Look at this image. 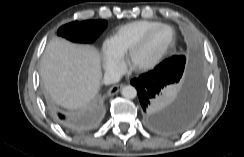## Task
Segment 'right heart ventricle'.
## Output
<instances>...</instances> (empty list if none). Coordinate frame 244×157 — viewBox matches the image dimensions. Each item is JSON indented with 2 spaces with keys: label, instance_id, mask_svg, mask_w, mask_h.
<instances>
[{
  "label": "right heart ventricle",
  "instance_id": "1",
  "mask_svg": "<svg viewBox=\"0 0 244 157\" xmlns=\"http://www.w3.org/2000/svg\"><path fill=\"white\" fill-rule=\"evenodd\" d=\"M159 21L139 20L120 26L110 38L112 49L119 55L124 56L152 27L160 24Z\"/></svg>",
  "mask_w": 244,
  "mask_h": 157
}]
</instances>
